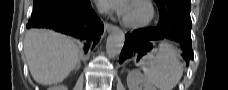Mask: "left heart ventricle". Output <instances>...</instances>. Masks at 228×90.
<instances>
[{
    "label": "left heart ventricle",
    "instance_id": "left-heart-ventricle-1",
    "mask_svg": "<svg viewBox=\"0 0 228 90\" xmlns=\"http://www.w3.org/2000/svg\"><path fill=\"white\" fill-rule=\"evenodd\" d=\"M148 15V9L144 4L133 3L128 5L125 17L132 22H139L145 19Z\"/></svg>",
    "mask_w": 228,
    "mask_h": 90
}]
</instances>
